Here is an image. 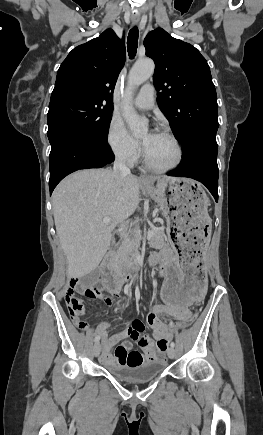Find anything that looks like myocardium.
<instances>
[{"mask_svg": "<svg viewBox=\"0 0 263 435\" xmlns=\"http://www.w3.org/2000/svg\"><path fill=\"white\" fill-rule=\"evenodd\" d=\"M158 133L169 138L174 143L176 150H177V158H176L175 162L169 166H165V167L155 166L149 160V157H148L147 152H146V148H144V153H143L144 164L149 170H151L153 172L165 173V172H168V171H171V170L177 168L182 163L183 156H184L183 147H182L179 139L172 132H169L167 130H160Z\"/></svg>", "mask_w": 263, "mask_h": 435, "instance_id": "f54148a6", "label": "myocardium"}]
</instances>
